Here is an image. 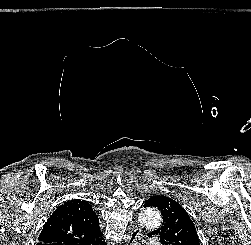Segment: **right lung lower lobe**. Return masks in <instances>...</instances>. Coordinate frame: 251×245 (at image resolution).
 Listing matches in <instances>:
<instances>
[{"instance_id": "98d812e1", "label": "right lung lower lobe", "mask_w": 251, "mask_h": 245, "mask_svg": "<svg viewBox=\"0 0 251 245\" xmlns=\"http://www.w3.org/2000/svg\"><path fill=\"white\" fill-rule=\"evenodd\" d=\"M82 245H106V243L103 240V237L101 234L98 238L94 239L93 241L83 243Z\"/></svg>"}]
</instances>
